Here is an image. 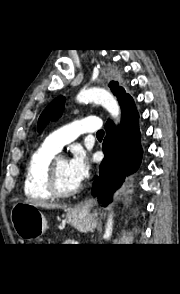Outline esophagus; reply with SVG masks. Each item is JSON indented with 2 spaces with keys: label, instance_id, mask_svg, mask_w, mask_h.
I'll list each match as a JSON object with an SVG mask.
<instances>
[{
  "label": "esophagus",
  "instance_id": "1",
  "mask_svg": "<svg viewBox=\"0 0 180 294\" xmlns=\"http://www.w3.org/2000/svg\"><path fill=\"white\" fill-rule=\"evenodd\" d=\"M94 203H95L94 198L92 197L86 198L84 201H81L80 203H78L74 207L73 211L75 213H86L89 211L91 207H93Z\"/></svg>",
  "mask_w": 180,
  "mask_h": 294
}]
</instances>
